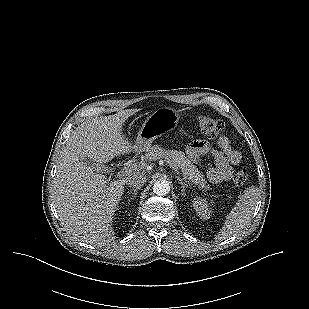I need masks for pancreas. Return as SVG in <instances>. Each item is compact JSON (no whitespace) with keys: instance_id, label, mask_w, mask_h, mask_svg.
<instances>
[{"instance_id":"obj_1","label":"pancreas","mask_w":309,"mask_h":309,"mask_svg":"<svg viewBox=\"0 0 309 309\" xmlns=\"http://www.w3.org/2000/svg\"><path fill=\"white\" fill-rule=\"evenodd\" d=\"M145 156L150 161L158 159L169 161L172 166L181 169L183 176L193 184L197 185L199 189L210 190V186L206 184L207 181L205 180L204 175L200 173L196 166L186 158L182 151L165 150L159 145H153L146 149Z\"/></svg>"}]
</instances>
